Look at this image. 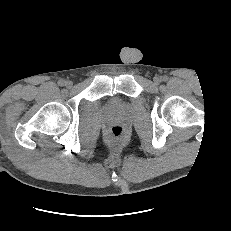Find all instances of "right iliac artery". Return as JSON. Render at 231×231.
<instances>
[{
  "label": "right iliac artery",
  "instance_id": "right-iliac-artery-1",
  "mask_svg": "<svg viewBox=\"0 0 231 231\" xmlns=\"http://www.w3.org/2000/svg\"><path fill=\"white\" fill-rule=\"evenodd\" d=\"M58 84H59V86H64L65 85V81L64 80H59Z\"/></svg>",
  "mask_w": 231,
  "mask_h": 231
}]
</instances>
